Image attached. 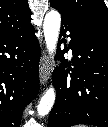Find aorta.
I'll return each mask as SVG.
<instances>
[{
  "label": "aorta",
  "mask_w": 108,
  "mask_h": 127,
  "mask_svg": "<svg viewBox=\"0 0 108 127\" xmlns=\"http://www.w3.org/2000/svg\"><path fill=\"white\" fill-rule=\"evenodd\" d=\"M61 25V15L56 10L49 11L44 19V37L47 49L50 54H54L57 47L59 31ZM55 102V90L53 87L47 89L38 105V115L45 116L49 113Z\"/></svg>",
  "instance_id": "762f6f07"
}]
</instances>
